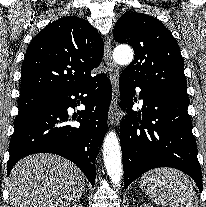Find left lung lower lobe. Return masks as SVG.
I'll return each mask as SVG.
<instances>
[{"label":"left lung lower lobe","instance_id":"obj_1","mask_svg":"<svg viewBox=\"0 0 206 207\" xmlns=\"http://www.w3.org/2000/svg\"><path fill=\"white\" fill-rule=\"evenodd\" d=\"M119 87L121 107L128 112L120 130L125 190L150 169L172 167L191 176L201 192L189 98L142 86L122 74ZM136 87L141 88L142 114L132 110Z\"/></svg>","mask_w":206,"mask_h":207}]
</instances>
